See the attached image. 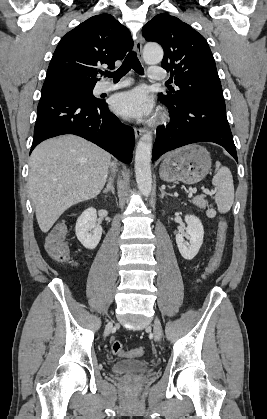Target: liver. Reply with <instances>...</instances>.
<instances>
[{
    "label": "liver",
    "instance_id": "6515ba94",
    "mask_svg": "<svg viewBox=\"0 0 267 419\" xmlns=\"http://www.w3.org/2000/svg\"><path fill=\"white\" fill-rule=\"evenodd\" d=\"M110 162L108 152L75 135L46 140L33 150L29 194L42 232H48L68 208L101 192Z\"/></svg>",
    "mask_w": 267,
    "mask_h": 419
}]
</instances>
